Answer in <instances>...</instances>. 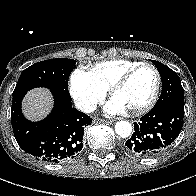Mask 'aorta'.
<instances>
[{
    "label": "aorta",
    "mask_w": 196,
    "mask_h": 196,
    "mask_svg": "<svg viewBox=\"0 0 196 196\" xmlns=\"http://www.w3.org/2000/svg\"><path fill=\"white\" fill-rule=\"evenodd\" d=\"M115 132L122 138H127L132 132V125L128 121H118L115 124Z\"/></svg>",
    "instance_id": "762f6f07"
}]
</instances>
